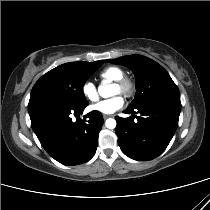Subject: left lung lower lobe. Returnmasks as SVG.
<instances>
[{"label": "left lung lower lobe", "instance_id": "0a47b994", "mask_svg": "<svg viewBox=\"0 0 210 210\" xmlns=\"http://www.w3.org/2000/svg\"><path fill=\"white\" fill-rule=\"evenodd\" d=\"M181 111L178 98L153 99L130 108L124 113H139L128 118L116 117V135L122 152L138 161L152 160L168 146L177 126Z\"/></svg>", "mask_w": 210, "mask_h": 210}]
</instances>
